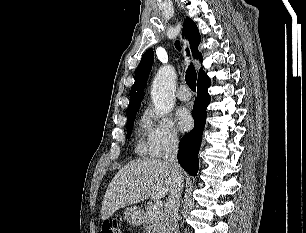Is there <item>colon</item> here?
I'll return each mask as SVG.
<instances>
[{"instance_id": "colon-1", "label": "colon", "mask_w": 306, "mask_h": 233, "mask_svg": "<svg viewBox=\"0 0 306 233\" xmlns=\"http://www.w3.org/2000/svg\"><path fill=\"white\" fill-rule=\"evenodd\" d=\"M100 233H119L117 222L115 221L105 222L101 227Z\"/></svg>"}]
</instances>
